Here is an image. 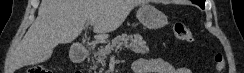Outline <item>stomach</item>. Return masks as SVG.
Listing matches in <instances>:
<instances>
[{
  "label": "stomach",
  "mask_w": 244,
  "mask_h": 73,
  "mask_svg": "<svg viewBox=\"0 0 244 73\" xmlns=\"http://www.w3.org/2000/svg\"><path fill=\"white\" fill-rule=\"evenodd\" d=\"M137 18L148 29H159L167 24V16L152 5L142 4L137 10Z\"/></svg>",
  "instance_id": "stomach-1"
}]
</instances>
